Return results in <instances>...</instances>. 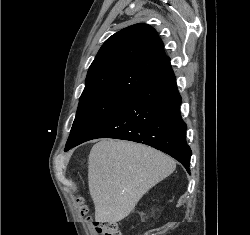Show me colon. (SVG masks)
<instances>
[{"mask_svg": "<svg viewBox=\"0 0 250 235\" xmlns=\"http://www.w3.org/2000/svg\"><path fill=\"white\" fill-rule=\"evenodd\" d=\"M80 212L86 216L88 213L87 207L83 204V200L78 197L76 199ZM95 229L99 235H121L119 225L115 221H97L94 222Z\"/></svg>", "mask_w": 250, "mask_h": 235, "instance_id": "colon-1", "label": "colon"}]
</instances>
